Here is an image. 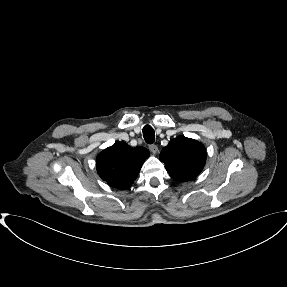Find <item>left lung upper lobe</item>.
<instances>
[{"instance_id": "5c2ea615", "label": "left lung upper lobe", "mask_w": 287, "mask_h": 287, "mask_svg": "<svg viewBox=\"0 0 287 287\" xmlns=\"http://www.w3.org/2000/svg\"><path fill=\"white\" fill-rule=\"evenodd\" d=\"M160 161L165 163L171 178L186 182L202 171L206 162V149L194 139L177 137L162 149Z\"/></svg>"}]
</instances>
